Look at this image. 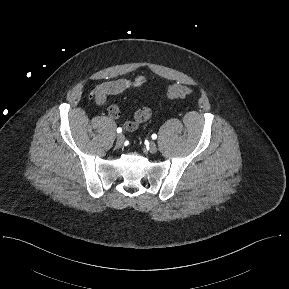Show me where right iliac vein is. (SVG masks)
Here are the masks:
<instances>
[{
  "instance_id": "right-iliac-vein-1",
  "label": "right iliac vein",
  "mask_w": 289,
  "mask_h": 289,
  "mask_svg": "<svg viewBox=\"0 0 289 289\" xmlns=\"http://www.w3.org/2000/svg\"><path fill=\"white\" fill-rule=\"evenodd\" d=\"M125 142V136L123 134H119L116 138V145L121 147Z\"/></svg>"
}]
</instances>
